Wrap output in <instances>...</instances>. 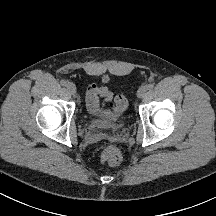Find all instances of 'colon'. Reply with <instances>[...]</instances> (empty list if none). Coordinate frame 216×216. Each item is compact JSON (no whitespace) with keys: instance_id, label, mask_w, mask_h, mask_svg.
I'll use <instances>...</instances> for the list:
<instances>
[{"instance_id":"5ec220e1","label":"colon","mask_w":216,"mask_h":216,"mask_svg":"<svg viewBox=\"0 0 216 216\" xmlns=\"http://www.w3.org/2000/svg\"><path fill=\"white\" fill-rule=\"evenodd\" d=\"M127 107V100L124 96H118L113 105L116 114L122 113ZM100 161L107 165H117L121 161V153L113 145H105L100 153Z\"/></svg>"}]
</instances>
